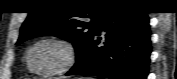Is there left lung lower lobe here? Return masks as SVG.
<instances>
[{
  "label": "left lung lower lobe",
  "instance_id": "left-lung-lower-lobe-1",
  "mask_svg": "<svg viewBox=\"0 0 177 79\" xmlns=\"http://www.w3.org/2000/svg\"><path fill=\"white\" fill-rule=\"evenodd\" d=\"M101 31L104 43L99 46ZM151 53L149 18L131 6L103 10L91 41L66 75L146 79Z\"/></svg>",
  "mask_w": 177,
  "mask_h": 79
}]
</instances>
